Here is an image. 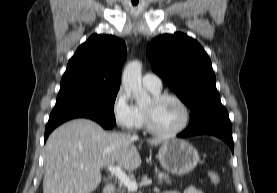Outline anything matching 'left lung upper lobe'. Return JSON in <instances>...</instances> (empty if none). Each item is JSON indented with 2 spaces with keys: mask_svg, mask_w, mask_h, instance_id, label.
<instances>
[{
  "mask_svg": "<svg viewBox=\"0 0 277 193\" xmlns=\"http://www.w3.org/2000/svg\"><path fill=\"white\" fill-rule=\"evenodd\" d=\"M153 71L190 108L189 125L225 109L216 89L211 61L202 46L187 35L163 34L147 46Z\"/></svg>",
  "mask_w": 277,
  "mask_h": 193,
  "instance_id": "obj_1",
  "label": "left lung upper lobe"
}]
</instances>
